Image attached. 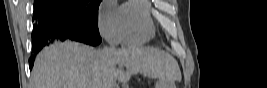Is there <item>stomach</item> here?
<instances>
[{
	"label": "stomach",
	"mask_w": 267,
	"mask_h": 88,
	"mask_svg": "<svg viewBox=\"0 0 267 88\" xmlns=\"http://www.w3.org/2000/svg\"><path fill=\"white\" fill-rule=\"evenodd\" d=\"M155 88H175V85L173 82L159 78V80L156 82Z\"/></svg>",
	"instance_id": "obj_1"
}]
</instances>
